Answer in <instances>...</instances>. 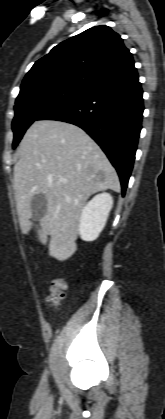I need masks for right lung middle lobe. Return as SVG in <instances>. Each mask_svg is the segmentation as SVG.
Wrapping results in <instances>:
<instances>
[{"label":"right lung middle lobe","mask_w":165,"mask_h":419,"mask_svg":"<svg viewBox=\"0 0 165 419\" xmlns=\"http://www.w3.org/2000/svg\"><path fill=\"white\" fill-rule=\"evenodd\" d=\"M88 92L69 87H49L24 94L16 99L13 148L20 142L27 128L46 113L66 103L73 102Z\"/></svg>","instance_id":"right-lung-middle-lobe-1"}]
</instances>
